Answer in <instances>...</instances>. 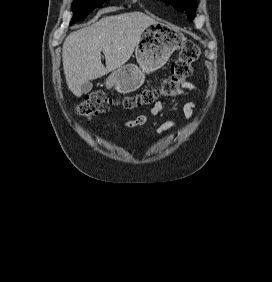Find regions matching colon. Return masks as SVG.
<instances>
[{
  "mask_svg": "<svg viewBox=\"0 0 272 282\" xmlns=\"http://www.w3.org/2000/svg\"><path fill=\"white\" fill-rule=\"evenodd\" d=\"M200 54V49L195 43L190 40L183 41L178 57L171 65L170 74L156 87L145 90L137 96L123 99V108L134 110L139 107H148L160 99L174 97L191 76V65L199 59ZM113 105L114 101L111 97L103 91H97L88 95L78 105L77 112L83 117L92 118L108 111Z\"/></svg>",
  "mask_w": 272,
  "mask_h": 282,
  "instance_id": "5ec220e1",
  "label": "colon"
}]
</instances>
